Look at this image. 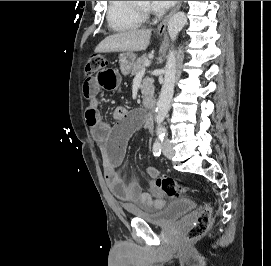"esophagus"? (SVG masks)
Here are the masks:
<instances>
[{
	"mask_svg": "<svg viewBox=\"0 0 271 266\" xmlns=\"http://www.w3.org/2000/svg\"><path fill=\"white\" fill-rule=\"evenodd\" d=\"M182 5V1H178V4L174 7V9L164 18V20L158 25L157 32L163 33L166 30L168 21L170 18L180 9Z\"/></svg>",
	"mask_w": 271,
	"mask_h": 266,
	"instance_id": "1",
	"label": "esophagus"
}]
</instances>
